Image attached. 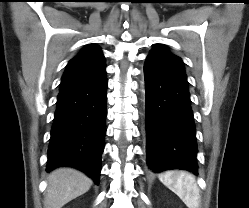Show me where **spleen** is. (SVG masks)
<instances>
[{"instance_id":"spleen-1","label":"spleen","mask_w":249,"mask_h":208,"mask_svg":"<svg viewBox=\"0 0 249 208\" xmlns=\"http://www.w3.org/2000/svg\"><path fill=\"white\" fill-rule=\"evenodd\" d=\"M160 181L172 190L188 208H198L199 189L193 175L187 172L168 171L159 176Z\"/></svg>"}]
</instances>
